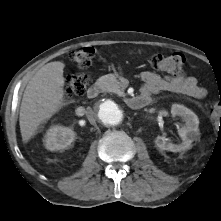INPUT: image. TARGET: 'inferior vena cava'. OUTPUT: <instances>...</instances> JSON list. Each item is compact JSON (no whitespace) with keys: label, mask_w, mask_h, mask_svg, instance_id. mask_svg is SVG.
Segmentation results:
<instances>
[{"label":"inferior vena cava","mask_w":221,"mask_h":221,"mask_svg":"<svg viewBox=\"0 0 221 221\" xmlns=\"http://www.w3.org/2000/svg\"><path fill=\"white\" fill-rule=\"evenodd\" d=\"M86 116L91 124H95V114L90 107H88L86 110Z\"/></svg>","instance_id":"602c4592"}]
</instances>
